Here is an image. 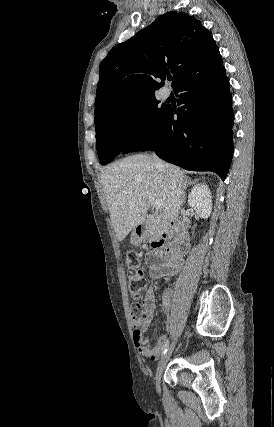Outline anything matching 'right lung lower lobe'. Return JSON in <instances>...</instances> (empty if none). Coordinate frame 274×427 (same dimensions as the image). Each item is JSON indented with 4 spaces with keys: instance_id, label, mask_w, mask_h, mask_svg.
I'll list each match as a JSON object with an SVG mask.
<instances>
[{
    "instance_id": "98d812e1",
    "label": "right lung lower lobe",
    "mask_w": 274,
    "mask_h": 427,
    "mask_svg": "<svg viewBox=\"0 0 274 427\" xmlns=\"http://www.w3.org/2000/svg\"><path fill=\"white\" fill-rule=\"evenodd\" d=\"M173 90L180 93L176 96L182 106L176 110L168 106L144 138L121 152L154 150L167 162L212 171L225 180L233 155L234 116L225 68L220 64L200 71Z\"/></svg>"
}]
</instances>
